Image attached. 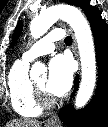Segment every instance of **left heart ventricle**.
<instances>
[{"instance_id": "left-heart-ventricle-1", "label": "left heart ventricle", "mask_w": 108, "mask_h": 127, "mask_svg": "<svg viewBox=\"0 0 108 127\" xmlns=\"http://www.w3.org/2000/svg\"><path fill=\"white\" fill-rule=\"evenodd\" d=\"M36 83H37L39 86H41L42 88H45L46 78L44 77V78L38 79V80L36 81Z\"/></svg>"}]
</instances>
